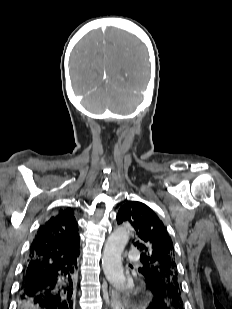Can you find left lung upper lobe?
Masks as SVG:
<instances>
[{
	"label": "left lung upper lobe",
	"mask_w": 232,
	"mask_h": 309,
	"mask_svg": "<svg viewBox=\"0 0 232 309\" xmlns=\"http://www.w3.org/2000/svg\"><path fill=\"white\" fill-rule=\"evenodd\" d=\"M129 222L135 231L133 245L140 250L138 271L169 302L183 304L173 242L163 222L141 202L129 201L118 211L117 223Z\"/></svg>",
	"instance_id": "1"
}]
</instances>
